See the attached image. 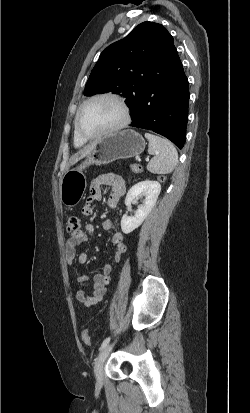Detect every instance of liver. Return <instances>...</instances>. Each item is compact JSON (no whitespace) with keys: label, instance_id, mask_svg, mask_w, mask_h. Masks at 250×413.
Masks as SVG:
<instances>
[{"label":"liver","instance_id":"obj_1","mask_svg":"<svg viewBox=\"0 0 250 413\" xmlns=\"http://www.w3.org/2000/svg\"><path fill=\"white\" fill-rule=\"evenodd\" d=\"M96 141L89 144L87 147L83 148L79 152H77L71 159V164L77 163L80 159L86 157L95 147Z\"/></svg>","mask_w":250,"mask_h":413}]
</instances>
